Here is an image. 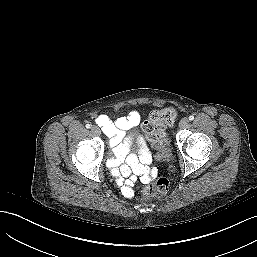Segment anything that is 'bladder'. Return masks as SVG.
Listing matches in <instances>:
<instances>
[{
  "label": "bladder",
  "instance_id": "1",
  "mask_svg": "<svg viewBox=\"0 0 257 257\" xmlns=\"http://www.w3.org/2000/svg\"><path fill=\"white\" fill-rule=\"evenodd\" d=\"M132 144H138L141 146V148L147 149V143L143 140V138L137 133L134 132L129 140ZM171 153V147L170 145L165 142L161 145H159L157 148H155V154L159 157H165Z\"/></svg>",
  "mask_w": 257,
  "mask_h": 257
}]
</instances>
